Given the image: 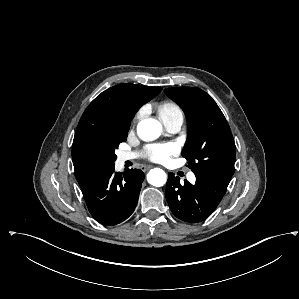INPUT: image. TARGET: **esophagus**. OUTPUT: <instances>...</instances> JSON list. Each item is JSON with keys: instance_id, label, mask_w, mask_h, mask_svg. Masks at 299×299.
Masks as SVG:
<instances>
[{"instance_id": "esophagus-1", "label": "esophagus", "mask_w": 299, "mask_h": 299, "mask_svg": "<svg viewBox=\"0 0 299 299\" xmlns=\"http://www.w3.org/2000/svg\"><path fill=\"white\" fill-rule=\"evenodd\" d=\"M140 168H141V170H142L143 172H146V171H148L149 169H151L152 166H151V165H142Z\"/></svg>"}]
</instances>
